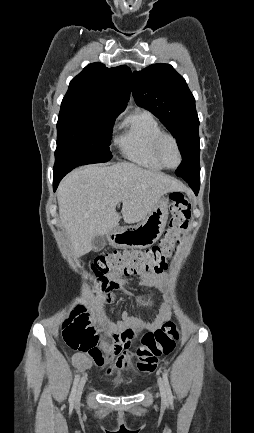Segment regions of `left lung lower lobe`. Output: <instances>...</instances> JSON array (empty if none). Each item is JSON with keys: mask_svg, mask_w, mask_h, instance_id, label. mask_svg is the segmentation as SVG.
I'll return each instance as SVG.
<instances>
[{"mask_svg": "<svg viewBox=\"0 0 254 433\" xmlns=\"http://www.w3.org/2000/svg\"><path fill=\"white\" fill-rule=\"evenodd\" d=\"M184 180L190 185L194 193L197 195L200 186V179L184 178Z\"/></svg>", "mask_w": 254, "mask_h": 433, "instance_id": "obj_1", "label": "left lung lower lobe"}]
</instances>
